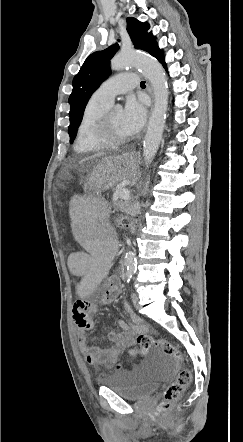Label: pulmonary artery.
I'll use <instances>...</instances> for the list:
<instances>
[{"instance_id": "1", "label": "pulmonary artery", "mask_w": 243, "mask_h": 442, "mask_svg": "<svg viewBox=\"0 0 243 442\" xmlns=\"http://www.w3.org/2000/svg\"><path fill=\"white\" fill-rule=\"evenodd\" d=\"M138 85V76L134 72H123L106 80L93 94L101 102L112 104L114 98Z\"/></svg>"}]
</instances>
